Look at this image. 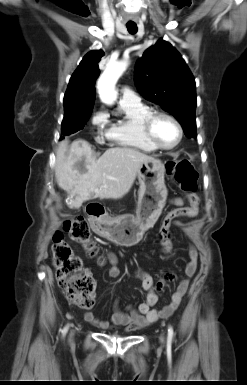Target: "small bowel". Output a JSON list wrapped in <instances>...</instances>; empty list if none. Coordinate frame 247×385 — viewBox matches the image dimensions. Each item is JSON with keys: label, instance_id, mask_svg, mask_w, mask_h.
<instances>
[{"label": "small bowel", "instance_id": "obj_1", "mask_svg": "<svg viewBox=\"0 0 247 385\" xmlns=\"http://www.w3.org/2000/svg\"><path fill=\"white\" fill-rule=\"evenodd\" d=\"M189 205L185 206L186 198H173L170 203L177 206L178 209L184 210L183 217H195L199 212V198L194 196V201H190V197H187ZM177 226H183L182 222H177ZM106 258L110 264L108 271L109 277L116 278L120 274L118 268V258L113 252H107ZM198 253L194 247L189 249V261L184 269V277L180 281L177 289L173 293L170 302L161 309L154 308V305L158 301V293L163 288L165 283L172 279V274L168 273L164 278L155 282L150 274L140 268L134 270V275L141 281L142 287L148 292L145 302L141 303L138 309L128 306L126 311H123L119 307L118 300L115 301L113 306V314L111 317V323L114 326H124L127 331H135L141 329L144 326L150 325L159 319L170 317L173 312L180 305L188 287L190 279L194 276L197 269ZM85 319L87 322L102 328L108 329L111 327L110 322L97 317L92 312L85 313Z\"/></svg>", "mask_w": 247, "mask_h": 385}]
</instances>
